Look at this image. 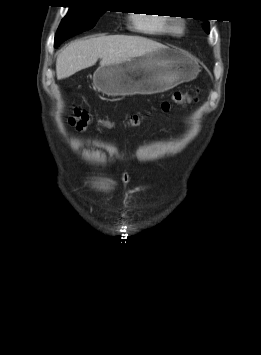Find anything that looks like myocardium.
<instances>
[{"instance_id":"myocardium-1","label":"myocardium","mask_w":261,"mask_h":355,"mask_svg":"<svg viewBox=\"0 0 261 355\" xmlns=\"http://www.w3.org/2000/svg\"><path fill=\"white\" fill-rule=\"evenodd\" d=\"M171 32L176 35H182L185 32V24L181 21L175 22L171 25Z\"/></svg>"}]
</instances>
